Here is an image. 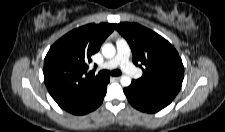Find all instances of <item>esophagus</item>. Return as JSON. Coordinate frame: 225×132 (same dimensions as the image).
I'll return each instance as SVG.
<instances>
[{
  "instance_id": "obj_1",
  "label": "esophagus",
  "mask_w": 225,
  "mask_h": 132,
  "mask_svg": "<svg viewBox=\"0 0 225 132\" xmlns=\"http://www.w3.org/2000/svg\"><path fill=\"white\" fill-rule=\"evenodd\" d=\"M111 79L114 80V81H118L120 79V77L119 76H114V77H111Z\"/></svg>"
}]
</instances>
